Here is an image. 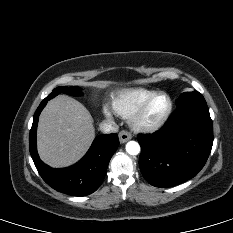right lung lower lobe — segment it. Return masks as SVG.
<instances>
[{"mask_svg": "<svg viewBox=\"0 0 233 233\" xmlns=\"http://www.w3.org/2000/svg\"><path fill=\"white\" fill-rule=\"evenodd\" d=\"M48 100L44 99L37 108L29 135V149L34 164L42 179L53 189L73 196H86L102 184L109 161L118 148L116 133L95 138L87 154L75 165L54 169L44 164L36 150V129L40 112Z\"/></svg>", "mask_w": 233, "mask_h": 233, "instance_id": "98d812e1", "label": "right lung lower lobe"}]
</instances>
